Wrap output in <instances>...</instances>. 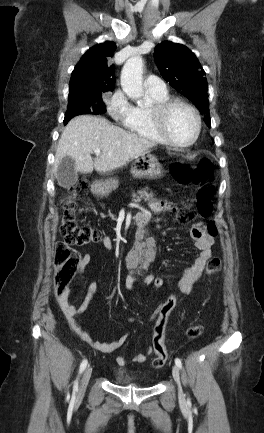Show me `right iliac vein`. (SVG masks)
I'll list each match as a JSON object with an SVG mask.
<instances>
[{
    "mask_svg": "<svg viewBox=\"0 0 264 433\" xmlns=\"http://www.w3.org/2000/svg\"><path fill=\"white\" fill-rule=\"evenodd\" d=\"M91 374H92V367L88 366L86 368L83 376H82V379H81V382H80V386H79V389H78V393H77V398L81 397L84 394V392L86 390V387H87V384L89 382V379L91 377Z\"/></svg>",
    "mask_w": 264,
    "mask_h": 433,
    "instance_id": "1",
    "label": "right iliac vein"
}]
</instances>
